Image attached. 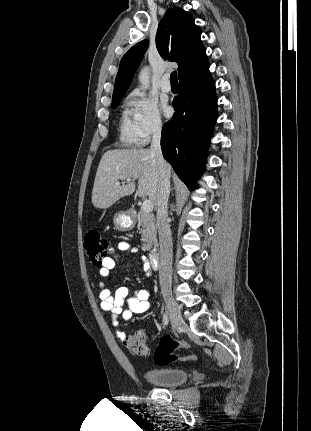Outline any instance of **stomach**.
Here are the masks:
<instances>
[{
	"label": "stomach",
	"instance_id": "1",
	"mask_svg": "<svg viewBox=\"0 0 311 431\" xmlns=\"http://www.w3.org/2000/svg\"><path fill=\"white\" fill-rule=\"evenodd\" d=\"M113 223L118 231H129L135 227V217L129 212H118L114 214Z\"/></svg>",
	"mask_w": 311,
	"mask_h": 431
}]
</instances>
